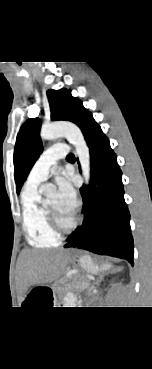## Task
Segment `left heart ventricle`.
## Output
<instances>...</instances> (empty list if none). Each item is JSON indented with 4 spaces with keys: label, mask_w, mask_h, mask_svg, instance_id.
Segmentation results:
<instances>
[{
    "label": "left heart ventricle",
    "mask_w": 152,
    "mask_h": 369,
    "mask_svg": "<svg viewBox=\"0 0 152 369\" xmlns=\"http://www.w3.org/2000/svg\"><path fill=\"white\" fill-rule=\"evenodd\" d=\"M48 206L55 212L62 225L67 226L73 220V215L65 213L59 204L58 196L53 195L46 200Z\"/></svg>",
    "instance_id": "1"
}]
</instances>
